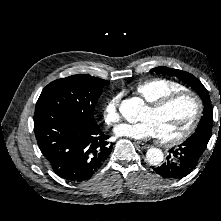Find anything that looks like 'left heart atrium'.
<instances>
[{
	"label": "left heart atrium",
	"mask_w": 221,
	"mask_h": 221,
	"mask_svg": "<svg viewBox=\"0 0 221 221\" xmlns=\"http://www.w3.org/2000/svg\"><path fill=\"white\" fill-rule=\"evenodd\" d=\"M114 132L117 136L135 140L158 137L157 129L150 120H142L137 123H121L115 127Z\"/></svg>",
	"instance_id": "1"
}]
</instances>
